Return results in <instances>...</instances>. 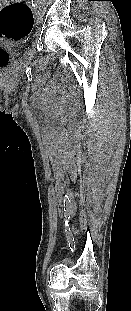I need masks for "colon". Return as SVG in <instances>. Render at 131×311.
<instances>
[{"label":"colon","instance_id":"obj_1","mask_svg":"<svg viewBox=\"0 0 131 311\" xmlns=\"http://www.w3.org/2000/svg\"><path fill=\"white\" fill-rule=\"evenodd\" d=\"M34 26L30 6L21 1H11L0 7V36L19 41L29 35ZM10 61L9 54L0 49V67Z\"/></svg>","mask_w":131,"mask_h":311}]
</instances>
